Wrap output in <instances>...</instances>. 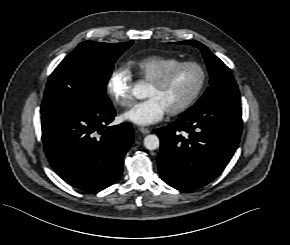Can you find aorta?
Here are the masks:
<instances>
[{
	"instance_id": "762f6f07",
	"label": "aorta",
	"mask_w": 290,
	"mask_h": 245,
	"mask_svg": "<svg viewBox=\"0 0 290 245\" xmlns=\"http://www.w3.org/2000/svg\"><path fill=\"white\" fill-rule=\"evenodd\" d=\"M133 95L141 99L144 97V89L142 84H136L133 88ZM144 146L148 150H155L160 146V140L157 135L150 134L144 138Z\"/></svg>"
}]
</instances>
